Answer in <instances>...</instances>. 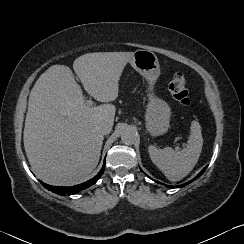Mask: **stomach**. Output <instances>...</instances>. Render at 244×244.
Wrapping results in <instances>:
<instances>
[{
    "instance_id": "1",
    "label": "stomach",
    "mask_w": 244,
    "mask_h": 244,
    "mask_svg": "<svg viewBox=\"0 0 244 244\" xmlns=\"http://www.w3.org/2000/svg\"><path fill=\"white\" fill-rule=\"evenodd\" d=\"M129 63L149 82L145 127L152 136H160L166 133L170 127L171 109L163 99L153 92V85L160 75L158 58L152 51L140 49L133 52Z\"/></svg>"
}]
</instances>
